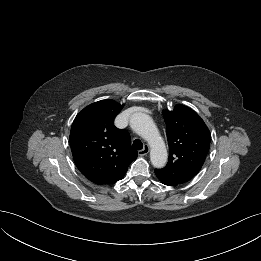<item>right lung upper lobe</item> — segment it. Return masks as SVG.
<instances>
[{
    "label": "right lung upper lobe",
    "mask_w": 261,
    "mask_h": 261,
    "mask_svg": "<svg viewBox=\"0 0 261 261\" xmlns=\"http://www.w3.org/2000/svg\"><path fill=\"white\" fill-rule=\"evenodd\" d=\"M123 106L101 100L85 107L73 121L70 145L75 164L95 184L121 180L137 158L129 133L114 126V118Z\"/></svg>",
    "instance_id": "cb5924a9"
}]
</instances>
